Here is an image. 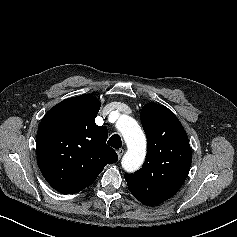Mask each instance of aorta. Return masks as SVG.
<instances>
[{
	"label": "aorta",
	"instance_id": "aorta-1",
	"mask_svg": "<svg viewBox=\"0 0 237 237\" xmlns=\"http://www.w3.org/2000/svg\"><path fill=\"white\" fill-rule=\"evenodd\" d=\"M116 126L127 145V152L122 159V167L128 172H133L142 165L145 159L146 137L139 124L128 115H121Z\"/></svg>",
	"mask_w": 237,
	"mask_h": 237
}]
</instances>
